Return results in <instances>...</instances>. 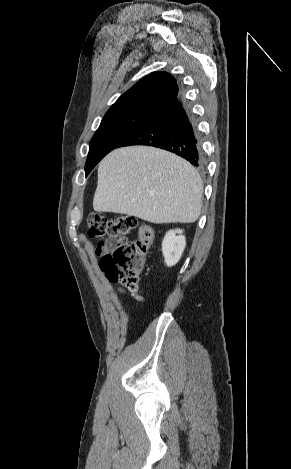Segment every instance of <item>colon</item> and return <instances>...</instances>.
<instances>
[{
	"label": "colon",
	"mask_w": 291,
	"mask_h": 469,
	"mask_svg": "<svg viewBox=\"0 0 291 469\" xmlns=\"http://www.w3.org/2000/svg\"><path fill=\"white\" fill-rule=\"evenodd\" d=\"M137 226L136 218L130 215L108 218L92 214L88 218V233L91 236L108 237L105 243L97 247L102 272L110 282L121 284L131 291L138 289L145 256L154 239L153 227L147 223L138 226L135 240L125 239Z\"/></svg>",
	"instance_id": "5ec220e1"
}]
</instances>
